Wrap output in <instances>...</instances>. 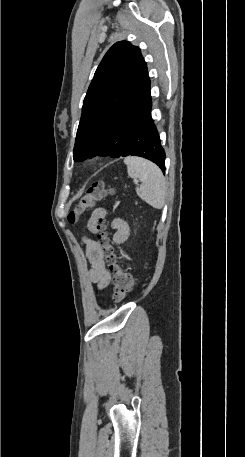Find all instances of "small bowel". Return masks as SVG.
<instances>
[{
  "label": "small bowel",
  "instance_id": "c3829d8e",
  "mask_svg": "<svg viewBox=\"0 0 245 457\" xmlns=\"http://www.w3.org/2000/svg\"><path fill=\"white\" fill-rule=\"evenodd\" d=\"M106 216L107 210L105 208L95 209L88 220V229L92 233H96L99 229L100 221L104 220ZM111 225L115 231V242L118 244L125 242L130 233L127 222L121 218H115L112 220ZM84 243L86 245L87 258L91 263L89 277L92 282L97 284V286L102 289L109 284L110 274L106 268L101 247L96 241L89 238H84Z\"/></svg>",
  "mask_w": 245,
  "mask_h": 457
}]
</instances>
